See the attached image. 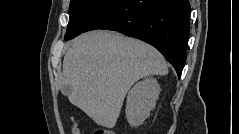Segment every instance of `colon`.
<instances>
[{"mask_svg":"<svg viewBox=\"0 0 239 134\" xmlns=\"http://www.w3.org/2000/svg\"><path fill=\"white\" fill-rule=\"evenodd\" d=\"M71 121H72V133L78 134V129H77L76 124L74 123L73 120H71ZM95 134H113V132H111L110 130L100 129V130H97L95 132Z\"/></svg>","mask_w":239,"mask_h":134,"instance_id":"1","label":"colon"}]
</instances>
